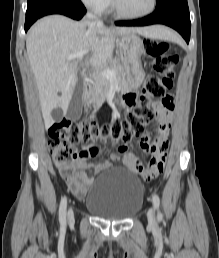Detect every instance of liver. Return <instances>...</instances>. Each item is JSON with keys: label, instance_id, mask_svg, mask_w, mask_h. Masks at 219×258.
Masks as SVG:
<instances>
[{"label": "liver", "instance_id": "liver-1", "mask_svg": "<svg viewBox=\"0 0 219 258\" xmlns=\"http://www.w3.org/2000/svg\"><path fill=\"white\" fill-rule=\"evenodd\" d=\"M165 31L159 26L106 28L92 20L74 22L62 15H50L36 22L28 33L26 48L46 126L53 123L51 112L55 108L66 113L78 81L76 67L81 58L68 60L69 56L89 50L91 55L83 65L98 69L112 59L117 35L139 33L164 38Z\"/></svg>", "mask_w": 219, "mask_h": 258}]
</instances>
